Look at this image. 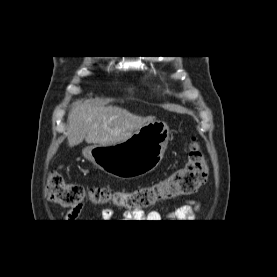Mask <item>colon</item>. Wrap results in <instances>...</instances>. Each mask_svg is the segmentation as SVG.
<instances>
[{
    "label": "colon",
    "mask_w": 277,
    "mask_h": 277,
    "mask_svg": "<svg viewBox=\"0 0 277 277\" xmlns=\"http://www.w3.org/2000/svg\"><path fill=\"white\" fill-rule=\"evenodd\" d=\"M207 174L208 167L200 144L193 140L189 147L188 162L152 186L129 191H112L105 187L86 189L80 184L66 182L60 173L53 171L48 175L45 193L48 200L64 207L73 208L90 200L142 210L161 200L195 193L206 181Z\"/></svg>",
    "instance_id": "obj_1"
}]
</instances>
